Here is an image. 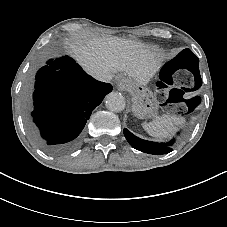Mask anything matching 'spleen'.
I'll return each mask as SVG.
<instances>
[{
	"mask_svg": "<svg viewBox=\"0 0 227 227\" xmlns=\"http://www.w3.org/2000/svg\"><path fill=\"white\" fill-rule=\"evenodd\" d=\"M183 118L171 115H155L149 122L144 124L146 130L153 136L163 139L170 137L175 123H182Z\"/></svg>",
	"mask_w": 227,
	"mask_h": 227,
	"instance_id": "spleen-1",
	"label": "spleen"
}]
</instances>
